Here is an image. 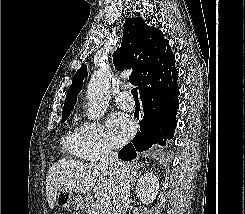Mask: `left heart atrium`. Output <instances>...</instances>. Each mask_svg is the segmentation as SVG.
Returning a JSON list of instances; mask_svg holds the SVG:
<instances>
[{
	"label": "left heart atrium",
	"instance_id": "39dd6f15",
	"mask_svg": "<svg viewBox=\"0 0 245 214\" xmlns=\"http://www.w3.org/2000/svg\"><path fill=\"white\" fill-rule=\"evenodd\" d=\"M134 129L130 118L121 112L112 113L107 119V134L114 147L126 143L133 135Z\"/></svg>",
	"mask_w": 245,
	"mask_h": 214
}]
</instances>
